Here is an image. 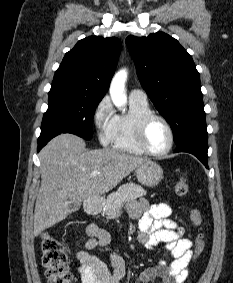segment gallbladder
Returning <instances> with one entry per match:
<instances>
[{"label":"gallbladder","mask_w":233,"mask_h":283,"mask_svg":"<svg viewBox=\"0 0 233 283\" xmlns=\"http://www.w3.org/2000/svg\"><path fill=\"white\" fill-rule=\"evenodd\" d=\"M81 204H72L71 205V210L74 212V211H77L79 210Z\"/></svg>","instance_id":"1"}]
</instances>
